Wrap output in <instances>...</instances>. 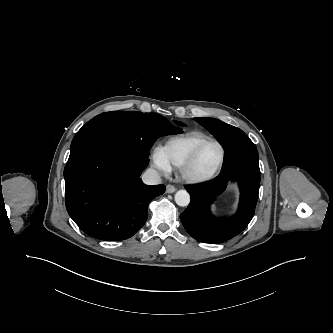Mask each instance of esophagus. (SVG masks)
<instances>
[{
  "label": "esophagus",
  "instance_id": "esophagus-1",
  "mask_svg": "<svg viewBox=\"0 0 333 333\" xmlns=\"http://www.w3.org/2000/svg\"><path fill=\"white\" fill-rule=\"evenodd\" d=\"M176 191V187L171 185V184H168L167 187H166V192L167 193H174Z\"/></svg>",
  "mask_w": 333,
  "mask_h": 333
}]
</instances>
